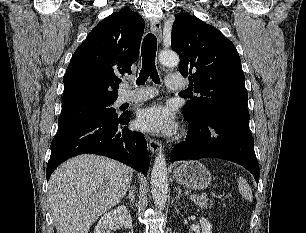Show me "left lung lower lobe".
<instances>
[{
	"label": "left lung lower lobe",
	"mask_w": 306,
	"mask_h": 233,
	"mask_svg": "<svg viewBox=\"0 0 306 233\" xmlns=\"http://www.w3.org/2000/svg\"><path fill=\"white\" fill-rule=\"evenodd\" d=\"M188 136L173 150L171 160L214 157L238 163L259 181L260 169L249 130V114L216 111L188 121Z\"/></svg>",
	"instance_id": "obj_1"
}]
</instances>
